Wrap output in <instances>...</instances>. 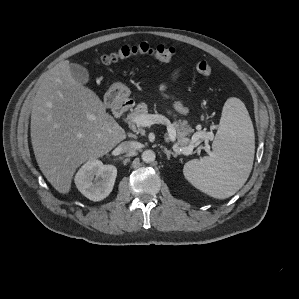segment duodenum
Wrapping results in <instances>:
<instances>
[{"label": "duodenum", "instance_id": "1", "mask_svg": "<svg viewBox=\"0 0 299 299\" xmlns=\"http://www.w3.org/2000/svg\"><path fill=\"white\" fill-rule=\"evenodd\" d=\"M130 103L127 99L116 101L112 104V110L116 117H120L122 114H124L129 108Z\"/></svg>", "mask_w": 299, "mask_h": 299}]
</instances>
